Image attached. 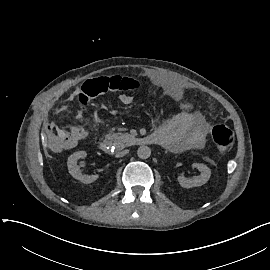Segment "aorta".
<instances>
[{"label": "aorta", "instance_id": "762f6f07", "mask_svg": "<svg viewBox=\"0 0 270 270\" xmlns=\"http://www.w3.org/2000/svg\"><path fill=\"white\" fill-rule=\"evenodd\" d=\"M137 155L140 159H148L151 156V149L147 146H140Z\"/></svg>", "mask_w": 270, "mask_h": 270}]
</instances>
